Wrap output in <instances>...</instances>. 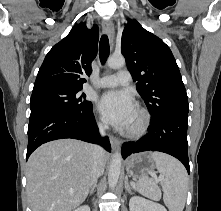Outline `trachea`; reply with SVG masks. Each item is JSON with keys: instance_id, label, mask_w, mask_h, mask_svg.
<instances>
[{"instance_id": "trachea-1", "label": "trachea", "mask_w": 221, "mask_h": 211, "mask_svg": "<svg viewBox=\"0 0 221 211\" xmlns=\"http://www.w3.org/2000/svg\"><path fill=\"white\" fill-rule=\"evenodd\" d=\"M109 51H110V46H109L108 37L107 35H102L99 45V56L101 64H105L107 57L109 55Z\"/></svg>"}]
</instances>
